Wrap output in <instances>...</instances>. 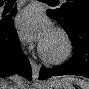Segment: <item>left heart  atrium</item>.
I'll return each mask as SVG.
<instances>
[{"mask_svg": "<svg viewBox=\"0 0 89 89\" xmlns=\"http://www.w3.org/2000/svg\"><path fill=\"white\" fill-rule=\"evenodd\" d=\"M16 29L27 40H38L43 44L53 33L50 22L36 6L22 10L16 18Z\"/></svg>", "mask_w": 89, "mask_h": 89, "instance_id": "1", "label": "left heart atrium"}]
</instances>
